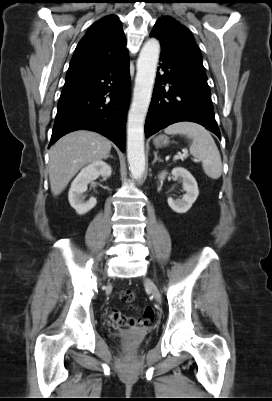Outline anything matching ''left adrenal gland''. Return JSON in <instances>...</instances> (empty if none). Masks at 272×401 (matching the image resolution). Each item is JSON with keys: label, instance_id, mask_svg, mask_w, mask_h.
Returning <instances> with one entry per match:
<instances>
[{"label": "left adrenal gland", "instance_id": "obj_1", "mask_svg": "<svg viewBox=\"0 0 272 401\" xmlns=\"http://www.w3.org/2000/svg\"><path fill=\"white\" fill-rule=\"evenodd\" d=\"M157 161L162 162V159H160V158L157 156V152H154V160H153L152 164H155Z\"/></svg>", "mask_w": 272, "mask_h": 401}]
</instances>
